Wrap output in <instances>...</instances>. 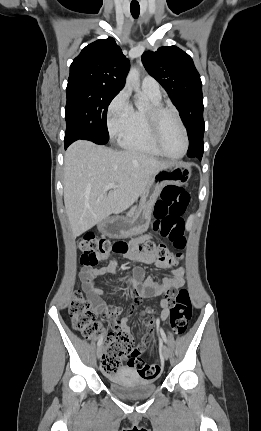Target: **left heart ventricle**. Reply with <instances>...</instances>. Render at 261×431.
I'll return each instance as SVG.
<instances>
[{"label": "left heart ventricle", "instance_id": "b2bd125f", "mask_svg": "<svg viewBox=\"0 0 261 431\" xmlns=\"http://www.w3.org/2000/svg\"><path fill=\"white\" fill-rule=\"evenodd\" d=\"M160 140L164 150L171 156H179L184 150L182 130L171 113L165 114L161 119Z\"/></svg>", "mask_w": 261, "mask_h": 431}]
</instances>
